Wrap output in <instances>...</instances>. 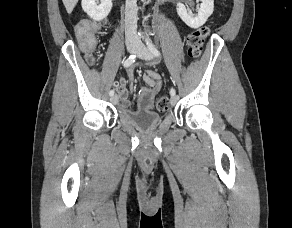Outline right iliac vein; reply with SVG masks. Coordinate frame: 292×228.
I'll return each mask as SVG.
<instances>
[{
  "mask_svg": "<svg viewBox=\"0 0 292 228\" xmlns=\"http://www.w3.org/2000/svg\"><path fill=\"white\" fill-rule=\"evenodd\" d=\"M136 47H137V45H136V43L133 42V41H128V42L126 43V48H127V51H128L129 53H133V52L136 50ZM111 101H112L113 103H117V101H118V96H117V95H113V96L111 97Z\"/></svg>",
  "mask_w": 292,
  "mask_h": 228,
  "instance_id": "63e3f726",
  "label": "right iliac vein"
}]
</instances>
